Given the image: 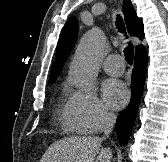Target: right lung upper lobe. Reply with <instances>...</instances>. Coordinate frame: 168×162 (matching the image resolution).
<instances>
[{
  "mask_svg": "<svg viewBox=\"0 0 168 162\" xmlns=\"http://www.w3.org/2000/svg\"><path fill=\"white\" fill-rule=\"evenodd\" d=\"M122 12L125 17V22L127 24L129 34L142 39L144 35L143 22L139 17H137L130 0L124 1ZM78 29V20L76 19V17L69 18L62 30L58 41L56 59L52 64L49 82H54V80L61 72L64 66V62L69 57L73 45L76 41ZM144 50L146 49L142 45H138L136 47V53Z\"/></svg>",
  "mask_w": 168,
  "mask_h": 162,
  "instance_id": "obj_1",
  "label": "right lung upper lobe"
}]
</instances>
